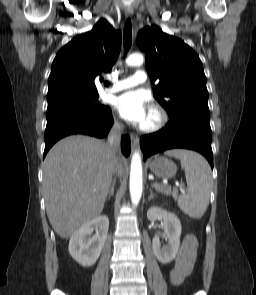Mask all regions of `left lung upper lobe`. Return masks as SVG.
I'll return each instance as SVG.
<instances>
[{
  "label": "left lung upper lobe",
  "mask_w": 256,
  "mask_h": 295,
  "mask_svg": "<svg viewBox=\"0 0 256 295\" xmlns=\"http://www.w3.org/2000/svg\"><path fill=\"white\" fill-rule=\"evenodd\" d=\"M137 44L146 54L154 97L167 111L169 122L183 116L209 120L206 76L197 53L158 26L143 28Z\"/></svg>",
  "instance_id": "5c2ea615"
}]
</instances>
